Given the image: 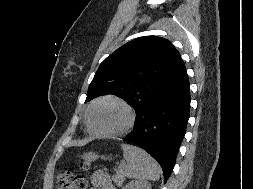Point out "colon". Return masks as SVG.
<instances>
[{
    "label": "colon",
    "instance_id": "obj_1",
    "mask_svg": "<svg viewBox=\"0 0 253 189\" xmlns=\"http://www.w3.org/2000/svg\"><path fill=\"white\" fill-rule=\"evenodd\" d=\"M86 168V165H82ZM58 189H86V180L82 175L71 170H64L58 175Z\"/></svg>",
    "mask_w": 253,
    "mask_h": 189
}]
</instances>
